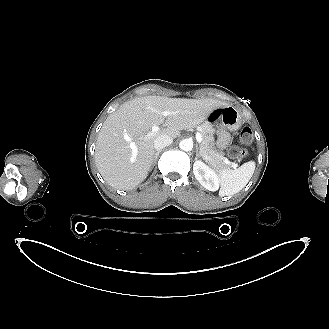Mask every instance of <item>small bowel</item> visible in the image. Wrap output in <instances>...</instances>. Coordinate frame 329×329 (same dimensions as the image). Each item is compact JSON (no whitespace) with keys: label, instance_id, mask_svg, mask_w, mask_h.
<instances>
[{"label":"small bowel","instance_id":"c3829d8e","mask_svg":"<svg viewBox=\"0 0 329 329\" xmlns=\"http://www.w3.org/2000/svg\"><path fill=\"white\" fill-rule=\"evenodd\" d=\"M227 142H228V136H227V134H225V133L222 132L220 134V145L222 147H224V146H226Z\"/></svg>","mask_w":329,"mask_h":329}]
</instances>
